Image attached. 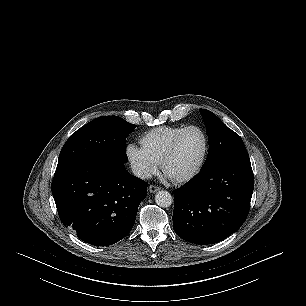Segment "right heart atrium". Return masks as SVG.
<instances>
[{"label": "right heart atrium", "instance_id": "right-heart-atrium-1", "mask_svg": "<svg viewBox=\"0 0 306 306\" xmlns=\"http://www.w3.org/2000/svg\"><path fill=\"white\" fill-rule=\"evenodd\" d=\"M125 155L132 172L140 179L150 178L159 168V163L143 147L136 144H128Z\"/></svg>", "mask_w": 306, "mask_h": 306}]
</instances>
